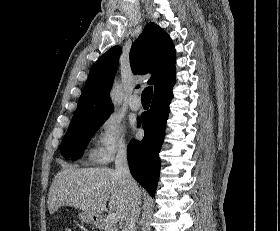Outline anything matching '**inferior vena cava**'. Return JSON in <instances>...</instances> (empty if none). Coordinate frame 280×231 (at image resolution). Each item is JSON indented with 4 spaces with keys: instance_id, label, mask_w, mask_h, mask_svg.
<instances>
[{
    "instance_id": "obj_1",
    "label": "inferior vena cava",
    "mask_w": 280,
    "mask_h": 231,
    "mask_svg": "<svg viewBox=\"0 0 280 231\" xmlns=\"http://www.w3.org/2000/svg\"><path fill=\"white\" fill-rule=\"evenodd\" d=\"M115 173L116 175H120V177H124L126 183L134 187L130 213L126 219V223L122 231H136V221L141 211V207H140L141 201H140L139 187L129 171L128 161H127V147L125 143H120L117 149L116 159H115Z\"/></svg>"
}]
</instances>
